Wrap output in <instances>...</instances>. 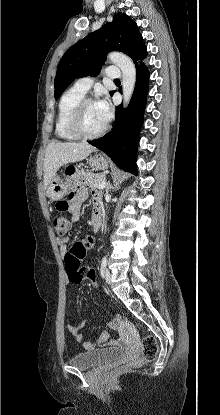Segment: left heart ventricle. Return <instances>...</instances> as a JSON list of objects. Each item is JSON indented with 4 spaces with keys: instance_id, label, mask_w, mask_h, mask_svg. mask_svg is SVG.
Instances as JSON below:
<instances>
[{
    "instance_id": "obj_1",
    "label": "left heart ventricle",
    "mask_w": 220,
    "mask_h": 415,
    "mask_svg": "<svg viewBox=\"0 0 220 415\" xmlns=\"http://www.w3.org/2000/svg\"><path fill=\"white\" fill-rule=\"evenodd\" d=\"M105 123L99 116L96 103L86 106L82 116V126L85 132L95 133L100 130Z\"/></svg>"
}]
</instances>
